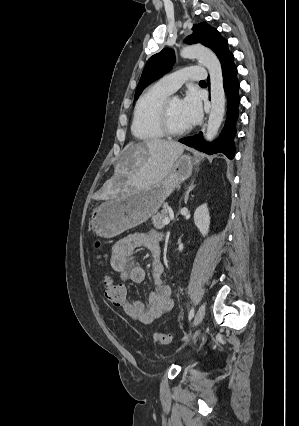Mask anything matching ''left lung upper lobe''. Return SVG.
Listing matches in <instances>:
<instances>
[{"mask_svg":"<svg viewBox=\"0 0 299 426\" xmlns=\"http://www.w3.org/2000/svg\"><path fill=\"white\" fill-rule=\"evenodd\" d=\"M193 33L186 38V43H200L209 47L218 56L222 51L228 49V42L224 39L216 28L211 27L206 22L193 25ZM175 63V56L172 49L165 48L159 53L151 56L142 72L137 86L134 100H136L151 82L159 79L168 73Z\"/></svg>","mask_w":299,"mask_h":426,"instance_id":"obj_1","label":"left lung upper lobe"}]
</instances>
